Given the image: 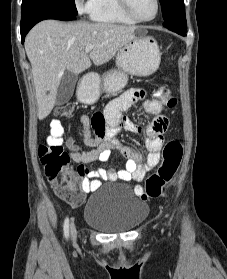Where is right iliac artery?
I'll return each mask as SVG.
<instances>
[{"label": "right iliac artery", "instance_id": "right-iliac-artery-1", "mask_svg": "<svg viewBox=\"0 0 227 279\" xmlns=\"http://www.w3.org/2000/svg\"><path fill=\"white\" fill-rule=\"evenodd\" d=\"M64 235L66 238H68L69 235V219L66 218L64 221Z\"/></svg>", "mask_w": 227, "mask_h": 279}]
</instances>
